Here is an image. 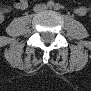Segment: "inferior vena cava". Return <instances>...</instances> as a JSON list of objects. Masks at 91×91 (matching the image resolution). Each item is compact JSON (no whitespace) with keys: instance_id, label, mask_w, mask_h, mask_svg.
Masks as SVG:
<instances>
[{"instance_id":"1","label":"inferior vena cava","mask_w":91,"mask_h":91,"mask_svg":"<svg viewBox=\"0 0 91 91\" xmlns=\"http://www.w3.org/2000/svg\"><path fill=\"white\" fill-rule=\"evenodd\" d=\"M47 7H46V5H36L35 7H34V11L35 12H39V11H41V10H43V9H46Z\"/></svg>"}]
</instances>
